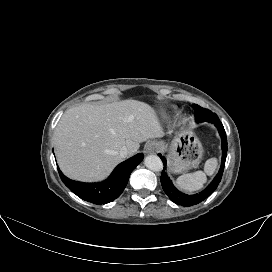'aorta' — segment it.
I'll return each mask as SVG.
<instances>
[{"label":"aorta","instance_id":"762f6f07","mask_svg":"<svg viewBox=\"0 0 272 272\" xmlns=\"http://www.w3.org/2000/svg\"><path fill=\"white\" fill-rule=\"evenodd\" d=\"M145 166L154 172H159L163 169V163L157 155H148L144 159Z\"/></svg>","mask_w":272,"mask_h":272}]
</instances>
